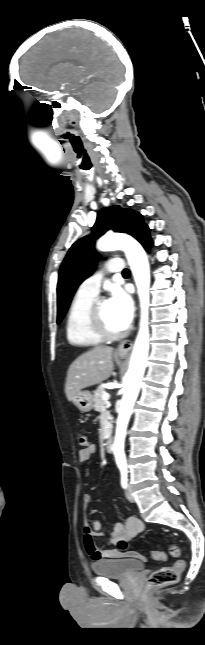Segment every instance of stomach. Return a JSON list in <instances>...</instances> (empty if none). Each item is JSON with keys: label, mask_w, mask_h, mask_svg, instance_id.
Returning <instances> with one entry per match:
<instances>
[{"label": "stomach", "mask_w": 205, "mask_h": 645, "mask_svg": "<svg viewBox=\"0 0 205 645\" xmlns=\"http://www.w3.org/2000/svg\"><path fill=\"white\" fill-rule=\"evenodd\" d=\"M120 358H125L120 355ZM71 402L81 411L89 412L94 407L93 395L89 391H79L72 398Z\"/></svg>", "instance_id": "1"}]
</instances>
